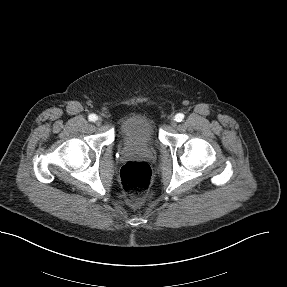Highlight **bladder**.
<instances>
[{"label": "bladder", "instance_id": "obj_1", "mask_svg": "<svg viewBox=\"0 0 287 287\" xmlns=\"http://www.w3.org/2000/svg\"><path fill=\"white\" fill-rule=\"evenodd\" d=\"M122 140L128 145L150 146L155 139L151 118L142 113H134L124 119L120 127Z\"/></svg>", "mask_w": 287, "mask_h": 287}]
</instances>
